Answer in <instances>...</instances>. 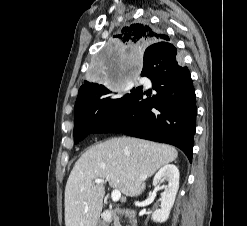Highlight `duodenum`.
Masks as SVG:
<instances>
[{"label":"duodenum","mask_w":247,"mask_h":226,"mask_svg":"<svg viewBox=\"0 0 247 226\" xmlns=\"http://www.w3.org/2000/svg\"><path fill=\"white\" fill-rule=\"evenodd\" d=\"M114 217H124L126 218L132 226H136V217L135 212L133 210L124 209V208H115L107 210L103 214V222L108 223L110 222Z\"/></svg>","instance_id":"410a0bca"}]
</instances>
